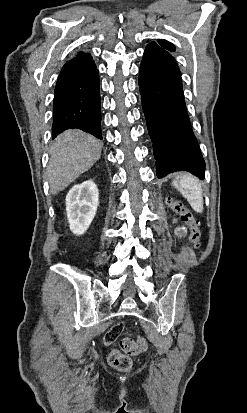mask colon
<instances>
[{
    "mask_svg": "<svg viewBox=\"0 0 247 413\" xmlns=\"http://www.w3.org/2000/svg\"><path fill=\"white\" fill-rule=\"evenodd\" d=\"M165 204L175 212L176 217H180L182 223L189 229L191 240L195 248L201 246V232L198 229V224L194 220L192 213L188 210L186 205L179 200L167 198ZM119 344L122 342H130L132 348L130 351H113L109 355V363L118 371H128L131 368V359L125 355H146V342L141 335L137 339H133L132 333H127L126 337H118Z\"/></svg>",
    "mask_w": 247,
    "mask_h": 413,
    "instance_id": "obj_1",
    "label": "colon"
}]
</instances>
